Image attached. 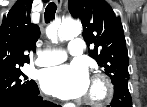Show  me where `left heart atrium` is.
Instances as JSON below:
<instances>
[{
  "instance_id": "obj_1",
  "label": "left heart atrium",
  "mask_w": 147,
  "mask_h": 107,
  "mask_svg": "<svg viewBox=\"0 0 147 107\" xmlns=\"http://www.w3.org/2000/svg\"><path fill=\"white\" fill-rule=\"evenodd\" d=\"M41 86L48 94L61 99H73L87 93L90 88V80L84 66L61 65L42 73Z\"/></svg>"
}]
</instances>
